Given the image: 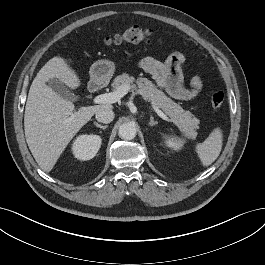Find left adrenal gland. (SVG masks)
<instances>
[{
	"label": "left adrenal gland",
	"mask_w": 265,
	"mask_h": 265,
	"mask_svg": "<svg viewBox=\"0 0 265 265\" xmlns=\"http://www.w3.org/2000/svg\"><path fill=\"white\" fill-rule=\"evenodd\" d=\"M157 124V122L156 121H154V118H153V116L152 115H150V122H149V125H151V126H154V125H156Z\"/></svg>",
	"instance_id": "left-adrenal-gland-1"
}]
</instances>
